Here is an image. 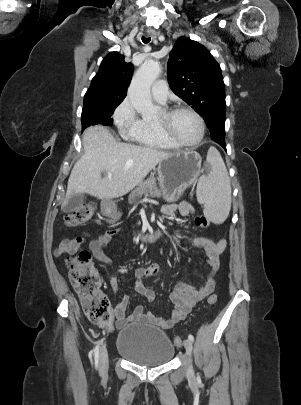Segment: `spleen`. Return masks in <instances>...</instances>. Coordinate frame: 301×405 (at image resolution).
Returning a JSON list of instances; mask_svg holds the SVG:
<instances>
[{
    "label": "spleen",
    "mask_w": 301,
    "mask_h": 405,
    "mask_svg": "<svg viewBox=\"0 0 301 405\" xmlns=\"http://www.w3.org/2000/svg\"><path fill=\"white\" fill-rule=\"evenodd\" d=\"M211 170L199 179L198 200L204 203L205 215L214 223H223L231 209V185L225 163L214 147L207 153Z\"/></svg>",
    "instance_id": "1"
}]
</instances>
